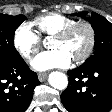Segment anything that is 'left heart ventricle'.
<instances>
[{"label": "left heart ventricle", "mask_w": 112, "mask_h": 112, "mask_svg": "<svg viewBox=\"0 0 112 112\" xmlns=\"http://www.w3.org/2000/svg\"><path fill=\"white\" fill-rule=\"evenodd\" d=\"M88 39L87 30L84 27H80L64 40L53 38L50 47L52 49H62L71 59H74L85 51Z\"/></svg>", "instance_id": "b2bd125f"}]
</instances>
